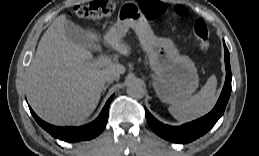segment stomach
<instances>
[{"label":"stomach","mask_w":259,"mask_h":156,"mask_svg":"<svg viewBox=\"0 0 259 156\" xmlns=\"http://www.w3.org/2000/svg\"><path fill=\"white\" fill-rule=\"evenodd\" d=\"M132 27L149 57L154 72L153 87L161 101L177 104L188 99L199 84L194 62L180 55L173 42L154 35L140 10L133 4H125L118 13L117 22L109 31L122 38Z\"/></svg>","instance_id":"0dacf381"}]
</instances>
